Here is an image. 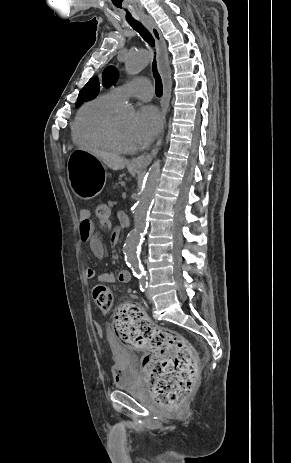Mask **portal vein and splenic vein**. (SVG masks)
<instances>
[{"instance_id": "18ae733b", "label": "portal vein and splenic vein", "mask_w": 291, "mask_h": 463, "mask_svg": "<svg viewBox=\"0 0 291 463\" xmlns=\"http://www.w3.org/2000/svg\"><path fill=\"white\" fill-rule=\"evenodd\" d=\"M122 197H123V198L126 197V192H123V193H122Z\"/></svg>"}]
</instances>
